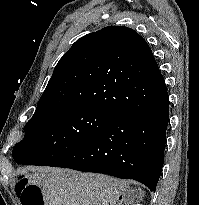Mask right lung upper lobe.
<instances>
[{"instance_id": "1", "label": "right lung upper lobe", "mask_w": 199, "mask_h": 205, "mask_svg": "<svg viewBox=\"0 0 199 205\" xmlns=\"http://www.w3.org/2000/svg\"><path fill=\"white\" fill-rule=\"evenodd\" d=\"M161 75L147 42L134 30L108 26L78 39L56 65L36 110L87 105L123 112Z\"/></svg>"}]
</instances>
